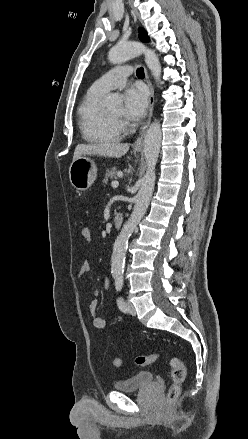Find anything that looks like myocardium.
Wrapping results in <instances>:
<instances>
[{
	"instance_id": "1",
	"label": "myocardium",
	"mask_w": 248,
	"mask_h": 439,
	"mask_svg": "<svg viewBox=\"0 0 248 439\" xmlns=\"http://www.w3.org/2000/svg\"><path fill=\"white\" fill-rule=\"evenodd\" d=\"M106 116L111 123H113L116 127L120 128V129L125 125V122L122 118L116 119V118H112L108 115H106Z\"/></svg>"
}]
</instances>
